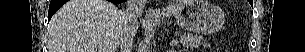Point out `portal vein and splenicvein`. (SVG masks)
Instances as JSON below:
<instances>
[{"label": "portal vein and splenic vein", "mask_w": 305, "mask_h": 52, "mask_svg": "<svg viewBox=\"0 0 305 52\" xmlns=\"http://www.w3.org/2000/svg\"><path fill=\"white\" fill-rule=\"evenodd\" d=\"M177 44H178L177 40H172L170 43L171 46H176Z\"/></svg>", "instance_id": "portal-vein-and-splenic-vein-1"}]
</instances>
